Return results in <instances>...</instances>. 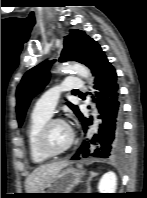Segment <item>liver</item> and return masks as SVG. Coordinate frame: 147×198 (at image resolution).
<instances>
[{"instance_id": "6515ba94", "label": "liver", "mask_w": 147, "mask_h": 198, "mask_svg": "<svg viewBox=\"0 0 147 198\" xmlns=\"http://www.w3.org/2000/svg\"><path fill=\"white\" fill-rule=\"evenodd\" d=\"M67 165V161H59L37 167L25 180L26 193H36L43 189Z\"/></svg>"}]
</instances>
